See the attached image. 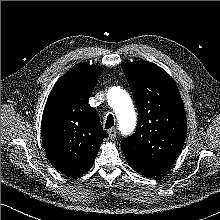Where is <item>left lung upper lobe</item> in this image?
<instances>
[{
  "label": "left lung upper lobe",
  "instance_id": "obj_1",
  "mask_svg": "<svg viewBox=\"0 0 220 220\" xmlns=\"http://www.w3.org/2000/svg\"><path fill=\"white\" fill-rule=\"evenodd\" d=\"M138 109L135 133L122 141L129 166L144 176L166 171L178 157L186 138V114L176 84L148 61L122 65Z\"/></svg>",
  "mask_w": 220,
  "mask_h": 220
}]
</instances>
